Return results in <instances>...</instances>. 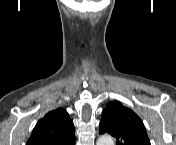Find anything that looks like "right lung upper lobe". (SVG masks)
Wrapping results in <instances>:
<instances>
[{
  "mask_svg": "<svg viewBox=\"0 0 176 145\" xmlns=\"http://www.w3.org/2000/svg\"><path fill=\"white\" fill-rule=\"evenodd\" d=\"M27 145H75L74 125L67 111L58 108L47 113L34 127Z\"/></svg>",
  "mask_w": 176,
  "mask_h": 145,
  "instance_id": "obj_1",
  "label": "right lung upper lobe"
}]
</instances>
